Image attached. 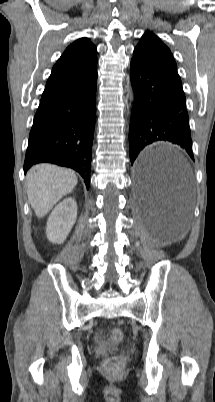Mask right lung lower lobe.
Here are the masks:
<instances>
[{
  "mask_svg": "<svg viewBox=\"0 0 215 402\" xmlns=\"http://www.w3.org/2000/svg\"><path fill=\"white\" fill-rule=\"evenodd\" d=\"M97 74L87 83L40 103L29 135L24 172L54 163L80 173L89 188L96 120Z\"/></svg>",
  "mask_w": 215,
  "mask_h": 402,
  "instance_id": "98d812e1",
  "label": "right lung lower lobe"
}]
</instances>
